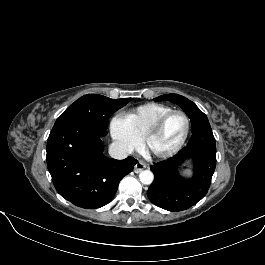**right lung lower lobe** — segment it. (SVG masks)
<instances>
[{
	"label": "right lung lower lobe",
	"instance_id": "1",
	"mask_svg": "<svg viewBox=\"0 0 265 265\" xmlns=\"http://www.w3.org/2000/svg\"><path fill=\"white\" fill-rule=\"evenodd\" d=\"M106 132L96 126L69 122L54 126L47 140V167L57 192L74 205L95 209L115 195L120 180L137 163L103 155L101 138Z\"/></svg>",
	"mask_w": 265,
	"mask_h": 265
}]
</instances>
